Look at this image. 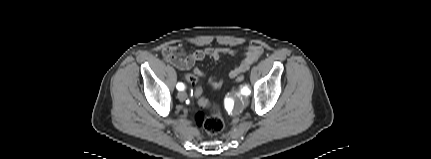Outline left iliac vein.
Segmentation results:
<instances>
[{
	"instance_id": "4c4485c4",
	"label": "left iliac vein",
	"mask_w": 431,
	"mask_h": 159,
	"mask_svg": "<svg viewBox=\"0 0 431 159\" xmlns=\"http://www.w3.org/2000/svg\"><path fill=\"white\" fill-rule=\"evenodd\" d=\"M247 103H248V98H247V97H244V98H243V104H244V105H246Z\"/></svg>"
}]
</instances>
